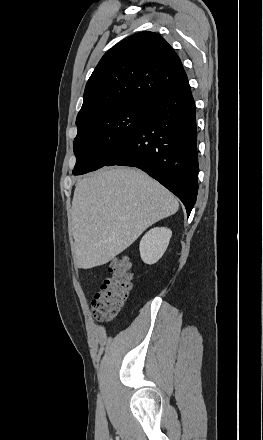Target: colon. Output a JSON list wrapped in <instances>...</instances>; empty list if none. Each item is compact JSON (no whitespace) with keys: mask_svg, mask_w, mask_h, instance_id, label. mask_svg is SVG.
<instances>
[{"mask_svg":"<svg viewBox=\"0 0 263 440\" xmlns=\"http://www.w3.org/2000/svg\"><path fill=\"white\" fill-rule=\"evenodd\" d=\"M109 274L104 277L101 290L92 300V314L98 321L116 316L131 289V261L126 256L117 257L109 263Z\"/></svg>","mask_w":263,"mask_h":440,"instance_id":"5ec220e1","label":"colon"}]
</instances>
